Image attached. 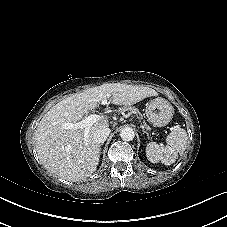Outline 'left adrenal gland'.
I'll return each mask as SVG.
<instances>
[{
  "instance_id": "left-adrenal-gland-1",
  "label": "left adrenal gland",
  "mask_w": 227,
  "mask_h": 227,
  "mask_svg": "<svg viewBox=\"0 0 227 227\" xmlns=\"http://www.w3.org/2000/svg\"><path fill=\"white\" fill-rule=\"evenodd\" d=\"M144 133H146V135L148 136V138H150L149 133H147V132H144Z\"/></svg>"
}]
</instances>
